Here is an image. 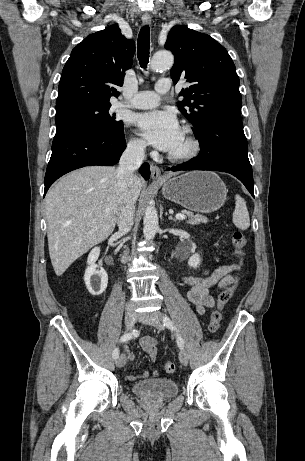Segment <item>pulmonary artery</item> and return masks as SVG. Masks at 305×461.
<instances>
[{
	"mask_svg": "<svg viewBox=\"0 0 305 461\" xmlns=\"http://www.w3.org/2000/svg\"><path fill=\"white\" fill-rule=\"evenodd\" d=\"M171 88L170 80L162 78L155 84V91H141L129 101H123L121 106L135 109H149L158 105L160 94L168 92Z\"/></svg>",
	"mask_w": 305,
	"mask_h": 461,
	"instance_id": "pulmonary-artery-1",
	"label": "pulmonary artery"
}]
</instances>
